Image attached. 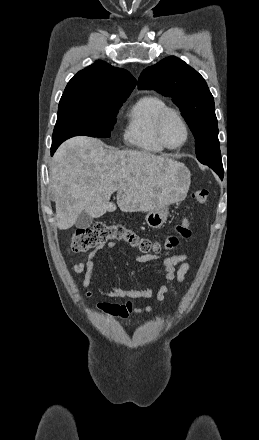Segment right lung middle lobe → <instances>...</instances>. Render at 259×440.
<instances>
[{"instance_id": "dd1d6c3e", "label": "right lung middle lobe", "mask_w": 259, "mask_h": 440, "mask_svg": "<svg viewBox=\"0 0 259 440\" xmlns=\"http://www.w3.org/2000/svg\"><path fill=\"white\" fill-rule=\"evenodd\" d=\"M126 100L95 103L77 99H61L52 142L62 143L78 135L108 138L116 122L115 116Z\"/></svg>"}]
</instances>
